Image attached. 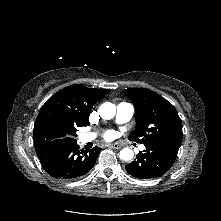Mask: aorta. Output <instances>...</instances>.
Wrapping results in <instances>:
<instances>
[{
    "label": "aorta",
    "instance_id": "762f6f07",
    "mask_svg": "<svg viewBox=\"0 0 221 221\" xmlns=\"http://www.w3.org/2000/svg\"><path fill=\"white\" fill-rule=\"evenodd\" d=\"M98 112L103 119H112L116 114V107L113 103L105 102L99 107ZM133 157L134 153L129 148L120 151V158L124 161H130Z\"/></svg>",
    "mask_w": 221,
    "mask_h": 221
}]
</instances>
